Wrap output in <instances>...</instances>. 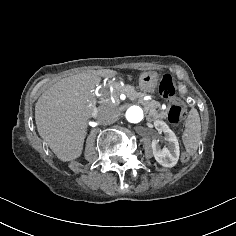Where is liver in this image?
Instances as JSON below:
<instances>
[{"label": "liver", "instance_id": "obj_1", "mask_svg": "<svg viewBox=\"0 0 236 236\" xmlns=\"http://www.w3.org/2000/svg\"><path fill=\"white\" fill-rule=\"evenodd\" d=\"M117 74L110 69L91 70L61 79L48 88L35 104V121L40 137L63 162L82 154L87 121L96 109L93 92L101 78ZM110 112L111 103L100 107Z\"/></svg>", "mask_w": 236, "mask_h": 236}]
</instances>
